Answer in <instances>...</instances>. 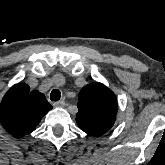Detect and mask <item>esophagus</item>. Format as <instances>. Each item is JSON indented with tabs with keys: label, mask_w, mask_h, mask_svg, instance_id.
<instances>
[{
	"label": "esophagus",
	"mask_w": 165,
	"mask_h": 165,
	"mask_svg": "<svg viewBox=\"0 0 165 165\" xmlns=\"http://www.w3.org/2000/svg\"><path fill=\"white\" fill-rule=\"evenodd\" d=\"M53 105L55 107H63L65 105V102L63 100L58 101V102H54Z\"/></svg>",
	"instance_id": "34e87169"
}]
</instances>
